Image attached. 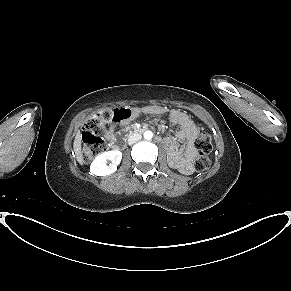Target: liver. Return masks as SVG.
Masks as SVG:
<instances>
[{
    "mask_svg": "<svg viewBox=\"0 0 291 291\" xmlns=\"http://www.w3.org/2000/svg\"><path fill=\"white\" fill-rule=\"evenodd\" d=\"M81 140H82L81 133L80 131H78L74 139L73 148H74V152H75L78 163L82 165L84 163V160H83L82 152H81Z\"/></svg>",
    "mask_w": 291,
    "mask_h": 291,
    "instance_id": "obj_1",
    "label": "liver"
}]
</instances>
